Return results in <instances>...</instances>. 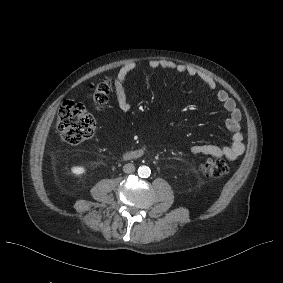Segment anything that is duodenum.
<instances>
[{
  "mask_svg": "<svg viewBox=\"0 0 283 283\" xmlns=\"http://www.w3.org/2000/svg\"><path fill=\"white\" fill-rule=\"evenodd\" d=\"M143 155H144V151L142 149H136L127 152L124 157L127 159H137L142 157Z\"/></svg>",
  "mask_w": 283,
  "mask_h": 283,
  "instance_id": "1",
  "label": "duodenum"
}]
</instances>
